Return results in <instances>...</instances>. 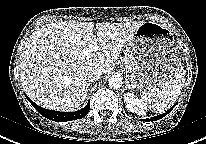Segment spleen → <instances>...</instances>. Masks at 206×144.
Instances as JSON below:
<instances>
[{
	"instance_id": "1",
	"label": "spleen",
	"mask_w": 206,
	"mask_h": 144,
	"mask_svg": "<svg viewBox=\"0 0 206 144\" xmlns=\"http://www.w3.org/2000/svg\"><path fill=\"white\" fill-rule=\"evenodd\" d=\"M184 83V70L181 68L178 69L174 78L170 77V79L163 82L159 87H154L149 91L143 92L141 98L149 105L153 112L162 113L175 103Z\"/></svg>"
}]
</instances>
